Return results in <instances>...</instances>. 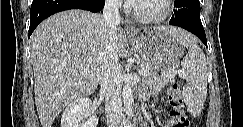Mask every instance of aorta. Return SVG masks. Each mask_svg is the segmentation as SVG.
Wrapping results in <instances>:
<instances>
[{
  "mask_svg": "<svg viewBox=\"0 0 243 127\" xmlns=\"http://www.w3.org/2000/svg\"><path fill=\"white\" fill-rule=\"evenodd\" d=\"M122 94H123V103L126 110V114L128 118H130L133 115V104H134L133 91L130 82H126L124 84Z\"/></svg>",
  "mask_w": 243,
  "mask_h": 127,
  "instance_id": "obj_1",
  "label": "aorta"
}]
</instances>
